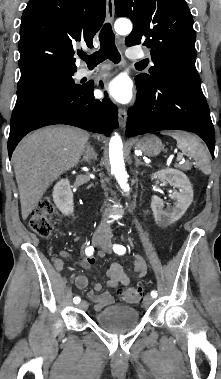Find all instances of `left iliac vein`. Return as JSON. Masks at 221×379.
Masks as SVG:
<instances>
[{
	"mask_svg": "<svg viewBox=\"0 0 221 379\" xmlns=\"http://www.w3.org/2000/svg\"><path fill=\"white\" fill-rule=\"evenodd\" d=\"M101 248L107 252V253H111L112 251V244H111V241L110 240H105L103 244H101ZM153 302V297L152 296H149L147 295L144 299V306L145 307H148L152 304Z\"/></svg>",
	"mask_w": 221,
	"mask_h": 379,
	"instance_id": "1",
	"label": "left iliac vein"
}]
</instances>
